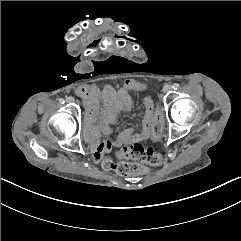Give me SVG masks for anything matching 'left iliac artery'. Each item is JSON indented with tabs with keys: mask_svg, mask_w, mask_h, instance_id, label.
Here are the masks:
<instances>
[{
	"mask_svg": "<svg viewBox=\"0 0 241 241\" xmlns=\"http://www.w3.org/2000/svg\"><path fill=\"white\" fill-rule=\"evenodd\" d=\"M172 88L175 89V90H177V89L179 88V84H178V83H174V84L172 85Z\"/></svg>",
	"mask_w": 241,
	"mask_h": 241,
	"instance_id": "obj_1",
	"label": "left iliac artery"
}]
</instances>
